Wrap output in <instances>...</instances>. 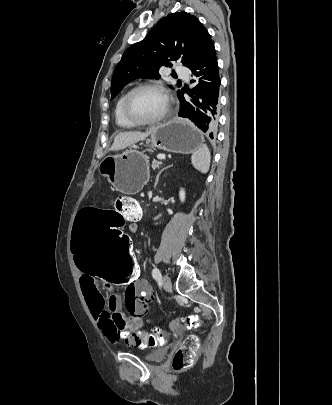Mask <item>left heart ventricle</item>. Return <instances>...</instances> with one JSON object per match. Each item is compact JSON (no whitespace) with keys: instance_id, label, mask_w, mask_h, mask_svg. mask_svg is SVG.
<instances>
[{"instance_id":"1","label":"left heart ventricle","mask_w":332,"mask_h":405,"mask_svg":"<svg viewBox=\"0 0 332 405\" xmlns=\"http://www.w3.org/2000/svg\"><path fill=\"white\" fill-rule=\"evenodd\" d=\"M167 106L162 93L143 89L135 93L129 102V111L137 119L148 120L161 115Z\"/></svg>"}]
</instances>
